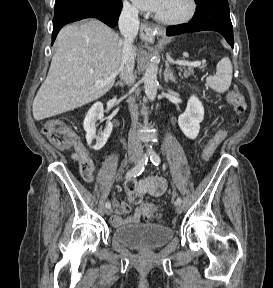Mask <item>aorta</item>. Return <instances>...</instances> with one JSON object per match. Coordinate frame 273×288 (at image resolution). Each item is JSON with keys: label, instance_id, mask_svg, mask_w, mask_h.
Returning <instances> with one entry per match:
<instances>
[{"label": "aorta", "instance_id": "obj_1", "mask_svg": "<svg viewBox=\"0 0 273 288\" xmlns=\"http://www.w3.org/2000/svg\"><path fill=\"white\" fill-rule=\"evenodd\" d=\"M158 65L157 62L152 61L146 68L143 81L145 94L150 101H153L157 95L158 81H157ZM149 154L153 153V150L150 148L148 150Z\"/></svg>", "mask_w": 273, "mask_h": 288}]
</instances>
